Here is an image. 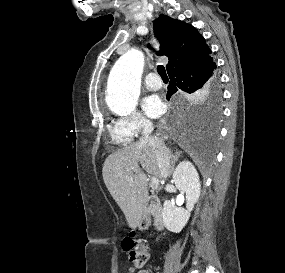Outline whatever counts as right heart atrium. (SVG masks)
I'll return each instance as SVG.
<instances>
[{"mask_svg": "<svg viewBox=\"0 0 285 273\" xmlns=\"http://www.w3.org/2000/svg\"><path fill=\"white\" fill-rule=\"evenodd\" d=\"M118 128L131 138L147 133L151 127V121L139 112H133L121 117L117 121Z\"/></svg>", "mask_w": 285, "mask_h": 273, "instance_id": "right-heart-atrium-1", "label": "right heart atrium"}]
</instances>
